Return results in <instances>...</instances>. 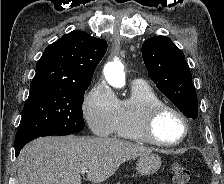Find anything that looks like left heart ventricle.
<instances>
[{
    "label": "left heart ventricle",
    "instance_id": "1",
    "mask_svg": "<svg viewBox=\"0 0 224 184\" xmlns=\"http://www.w3.org/2000/svg\"><path fill=\"white\" fill-rule=\"evenodd\" d=\"M182 122L172 113H164L155 125L157 137L163 141L170 142L178 140L183 134Z\"/></svg>",
    "mask_w": 224,
    "mask_h": 184
}]
</instances>
